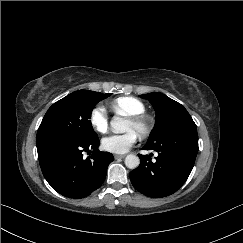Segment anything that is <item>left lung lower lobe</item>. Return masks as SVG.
Here are the masks:
<instances>
[{"label": "left lung lower lobe", "instance_id": "1", "mask_svg": "<svg viewBox=\"0 0 243 243\" xmlns=\"http://www.w3.org/2000/svg\"><path fill=\"white\" fill-rule=\"evenodd\" d=\"M145 150L158 152L156 161L139 155L141 163L130 172L136 190L148 197H165L176 192L187 180L198 152L197 129H191L161 142L145 144Z\"/></svg>", "mask_w": 243, "mask_h": 243}]
</instances>
